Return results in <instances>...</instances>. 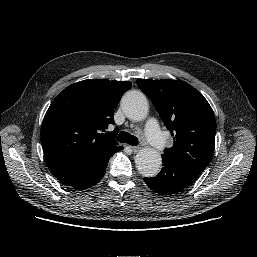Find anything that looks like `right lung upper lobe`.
<instances>
[{
	"label": "right lung upper lobe",
	"instance_id": "obj_1",
	"mask_svg": "<svg viewBox=\"0 0 257 257\" xmlns=\"http://www.w3.org/2000/svg\"><path fill=\"white\" fill-rule=\"evenodd\" d=\"M132 84L89 79L64 89L48 108L41 128V142L50 171L70 186L96 169L117 151L114 109Z\"/></svg>",
	"mask_w": 257,
	"mask_h": 257
}]
</instances>
